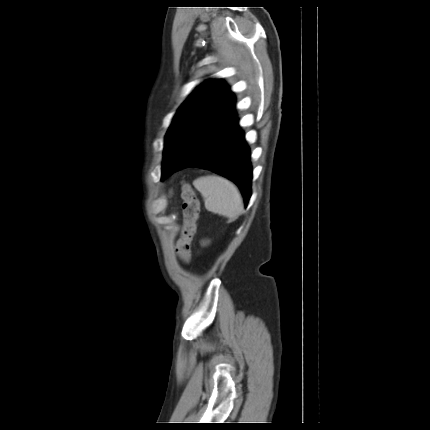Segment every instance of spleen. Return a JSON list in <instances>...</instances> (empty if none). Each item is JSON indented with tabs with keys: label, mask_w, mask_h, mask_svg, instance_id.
<instances>
[{
	"label": "spleen",
	"mask_w": 430,
	"mask_h": 430,
	"mask_svg": "<svg viewBox=\"0 0 430 430\" xmlns=\"http://www.w3.org/2000/svg\"><path fill=\"white\" fill-rule=\"evenodd\" d=\"M193 185L203 196L208 211L223 216H234L240 212V193L229 180L222 177H200L193 181Z\"/></svg>",
	"instance_id": "spleen-1"
}]
</instances>
